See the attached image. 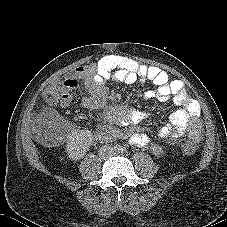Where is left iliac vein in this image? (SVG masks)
<instances>
[{
  "instance_id": "1",
  "label": "left iliac vein",
  "mask_w": 227,
  "mask_h": 227,
  "mask_svg": "<svg viewBox=\"0 0 227 227\" xmlns=\"http://www.w3.org/2000/svg\"><path fill=\"white\" fill-rule=\"evenodd\" d=\"M112 154L113 155H116V154H118V152L117 151H113Z\"/></svg>"
}]
</instances>
